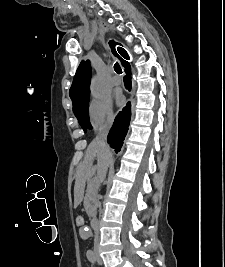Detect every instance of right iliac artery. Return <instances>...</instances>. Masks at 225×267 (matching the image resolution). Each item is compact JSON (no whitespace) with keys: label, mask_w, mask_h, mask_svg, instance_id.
Instances as JSON below:
<instances>
[{"label":"right iliac artery","mask_w":225,"mask_h":267,"mask_svg":"<svg viewBox=\"0 0 225 267\" xmlns=\"http://www.w3.org/2000/svg\"><path fill=\"white\" fill-rule=\"evenodd\" d=\"M87 258L93 264L96 262V256L92 250L87 251Z\"/></svg>","instance_id":"82829eb1"}]
</instances>
